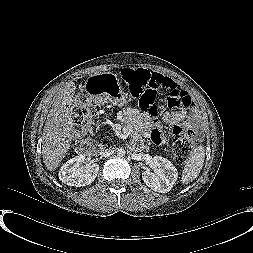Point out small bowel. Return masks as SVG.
Returning <instances> with one entry per match:
<instances>
[{
	"instance_id": "c3829d8e",
	"label": "small bowel",
	"mask_w": 253,
	"mask_h": 253,
	"mask_svg": "<svg viewBox=\"0 0 253 253\" xmlns=\"http://www.w3.org/2000/svg\"><path fill=\"white\" fill-rule=\"evenodd\" d=\"M165 80L171 86L184 92L179 85L171 78L155 73ZM125 120L130 123L138 134L150 137L152 142L156 145H162L167 142L166 137L162 133V122L168 124L173 134L178 135L184 131L182 122H186V127L191 130V126L196 125L198 115L195 110L191 108H184L178 111H166L162 115V121L149 117L146 114L139 112L136 109H128L124 112Z\"/></svg>"
}]
</instances>
